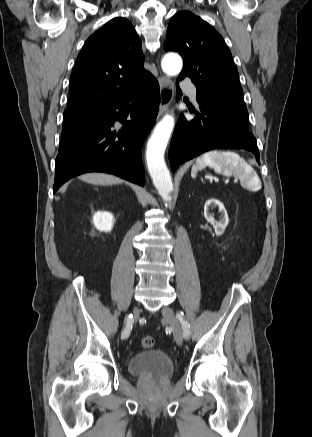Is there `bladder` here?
<instances>
[{
  "mask_svg": "<svg viewBox=\"0 0 312 437\" xmlns=\"http://www.w3.org/2000/svg\"><path fill=\"white\" fill-rule=\"evenodd\" d=\"M127 367L133 376L167 378L174 373L172 359L160 349L137 352L128 360Z\"/></svg>",
  "mask_w": 312,
  "mask_h": 437,
  "instance_id": "31cf9c89",
  "label": "bladder"
}]
</instances>
